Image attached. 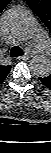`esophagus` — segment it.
Wrapping results in <instances>:
<instances>
[{"label":"esophagus","mask_w":51,"mask_h":153,"mask_svg":"<svg viewBox=\"0 0 51 153\" xmlns=\"http://www.w3.org/2000/svg\"><path fill=\"white\" fill-rule=\"evenodd\" d=\"M30 57H31V55L26 54V55H23V56L19 57V59H21V60H27V59H29Z\"/></svg>","instance_id":"esophagus-1"}]
</instances>
